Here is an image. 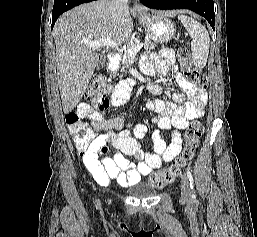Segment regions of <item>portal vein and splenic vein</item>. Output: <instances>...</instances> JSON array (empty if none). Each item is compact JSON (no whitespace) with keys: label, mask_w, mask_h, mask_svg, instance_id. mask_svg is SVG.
Segmentation results:
<instances>
[{"label":"portal vein and splenic vein","mask_w":257,"mask_h":237,"mask_svg":"<svg viewBox=\"0 0 257 237\" xmlns=\"http://www.w3.org/2000/svg\"><path fill=\"white\" fill-rule=\"evenodd\" d=\"M84 44L87 47L92 48L93 50H98L102 47H107V48H118L119 44H117L116 42H114L113 40L109 39V38H103L97 41H84ZM143 43H138L135 47L130 48L127 50V53L130 56H135L142 48Z\"/></svg>","instance_id":"obj_1"}]
</instances>
